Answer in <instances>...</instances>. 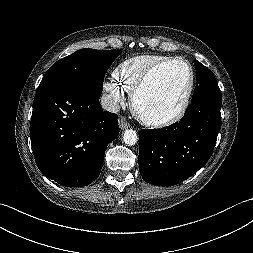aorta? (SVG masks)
<instances>
[{
  "instance_id": "aorta-1",
  "label": "aorta",
  "mask_w": 253,
  "mask_h": 253,
  "mask_svg": "<svg viewBox=\"0 0 253 253\" xmlns=\"http://www.w3.org/2000/svg\"><path fill=\"white\" fill-rule=\"evenodd\" d=\"M123 141L125 144L129 146L135 145L138 141V136H137L136 131H134L133 129L125 130L123 134Z\"/></svg>"
}]
</instances>
